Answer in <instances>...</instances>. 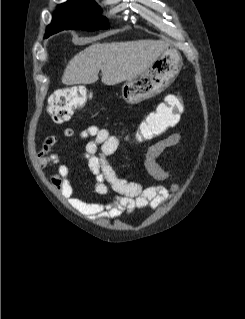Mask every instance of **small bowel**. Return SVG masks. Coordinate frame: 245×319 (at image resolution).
I'll use <instances>...</instances> for the list:
<instances>
[{"instance_id": "c3829d8e", "label": "small bowel", "mask_w": 245, "mask_h": 319, "mask_svg": "<svg viewBox=\"0 0 245 319\" xmlns=\"http://www.w3.org/2000/svg\"><path fill=\"white\" fill-rule=\"evenodd\" d=\"M170 96H167L165 103ZM63 135L72 138L76 133L74 129L66 128ZM77 138L88 140L84 151L79 156L87 163L94 176V192L109 196L108 201L87 202L73 196L74 188L69 166L62 161L61 154L54 150L59 141L58 136L51 135L44 140L38 152V163L41 168L55 170L51 176L53 186L68 199L73 208L81 213L96 219H114L125 212L131 213L138 209L155 210L177 191V185H173L170 189L158 184L143 186L139 182L118 176L109 163L108 157L118 150L120 139L112 135L109 129L92 125L82 130ZM180 141V134L172 133L147 146L145 167L155 179L166 180L170 177V173L160 165L158 158L165 150L178 145Z\"/></svg>"}]
</instances>
